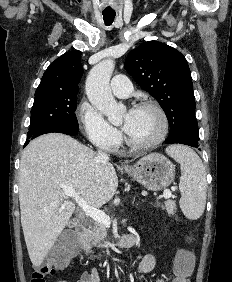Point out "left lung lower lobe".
Instances as JSON below:
<instances>
[{
	"label": "left lung lower lobe",
	"mask_w": 232,
	"mask_h": 282,
	"mask_svg": "<svg viewBox=\"0 0 232 282\" xmlns=\"http://www.w3.org/2000/svg\"><path fill=\"white\" fill-rule=\"evenodd\" d=\"M198 140H199V137L185 136L181 132L172 128L170 130V134L167 140L165 141V143L166 144L179 143V144H185V145H189V146L198 148L199 147Z\"/></svg>",
	"instance_id": "left-lung-lower-lobe-1"
}]
</instances>
